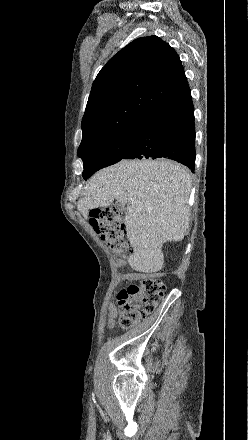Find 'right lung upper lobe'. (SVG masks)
I'll return each mask as SVG.
<instances>
[{
	"label": "right lung upper lobe",
	"mask_w": 248,
	"mask_h": 440,
	"mask_svg": "<svg viewBox=\"0 0 248 440\" xmlns=\"http://www.w3.org/2000/svg\"><path fill=\"white\" fill-rule=\"evenodd\" d=\"M190 92L176 51L157 36L142 37L98 73L82 119L84 148L127 128L145 113Z\"/></svg>",
	"instance_id": "1"
}]
</instances>
